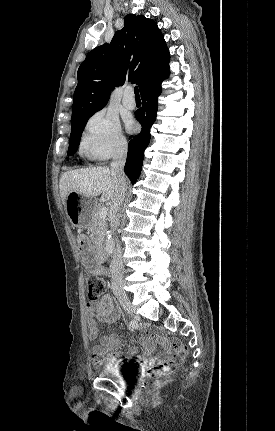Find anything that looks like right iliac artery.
I'll return each mask as SVG.
<instances>
[{
    "label": "right iliac artery",
    "mask_w": 275,
    "mask_h": 431,
    "mask_svg": "<svg viewBox=\"0 0 275 431\" xmlns=\"http://www.w3.org/2000/svg\"><path fill=\"white\" fill-rule=\"evenodd\" d=\"M129 326H130L132 329H136V328H137V326H138V323H137V321L132 320V321H130Z\"/></svg>",
    "instance_id": "right-iliac-artery-1"
}]
</instances>
